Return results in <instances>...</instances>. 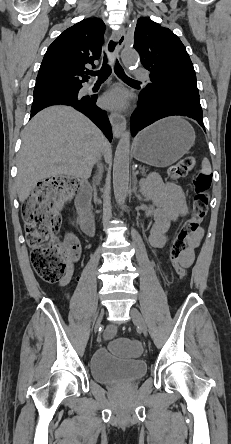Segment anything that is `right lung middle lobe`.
I'll return each instance as SVG.
<instances>
[{"mask_svg": "<svg viewBox=\"0 0 231 444\" xmlns=\"http://www.w3.org/2000/svg\"><path fill=\"white\" fill-rule=\"evenodd\" d=\"M81 85H58L51 89H49L47 92H53V91H63L68 93H78L80 90ZM36 94V93H34Z\"/></svg>", "mask_w": 231, "mask_h": 444, "instance_id": "right-lung-middle-lobe-1", "label": "right lung middle lobe"}]
</instances>
